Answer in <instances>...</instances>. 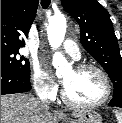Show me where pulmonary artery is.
Listing matches in <instances>:
<instances>
[{"label": "pulmonary artery", "instance_id": "1", "mask_svg": "<svg viewBox=\"0 0 122 123\" xmlns=\"http://www.w3.org/2000/svg\"><path fill=\"white\" fill-rule=\"evenodd\" d=\"M63 48L64 50L74 59H79L81 54H80V49L78 45L70 39H66L63 42Z\"/></svg>", "mask_w": 122, "mask_h": 123}]
</instances>
